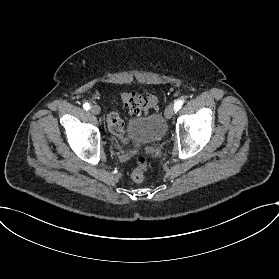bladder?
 Segmentation results:
<instances>
[{"mask_svg": "<svg viewBox=\"0 0 279 279\" xmlns=\"http://www.w3.org/2000/svg\"><path fill=\"white\" fill-rule=\"evenodd\" d=\"M167 127V119L161 113L131 118L126 122L129 138L143 146L161 141L167 132Z\"/></svg>", "mask_w": 279, "mask_h": 279, "instance_id": "obj_1", "label": "bladder"}]
</instances>
